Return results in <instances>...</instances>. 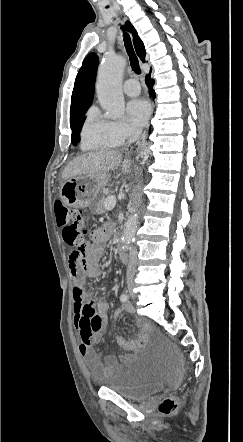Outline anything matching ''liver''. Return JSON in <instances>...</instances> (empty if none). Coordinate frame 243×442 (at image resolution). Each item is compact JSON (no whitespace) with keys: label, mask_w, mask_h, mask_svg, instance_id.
I'll use <instances>...</instances> for the list:
<instances>
[{"label":"liver","mask_w":243,"mask_h":442,"mask_svg":"<svg viewBox=\"0 0 243 442\" xmlns=\"http://www.w3.org/2000/svg\"><path fill=\"white\" fill-rule=\"evenodd\" d=\"M119 166L122 167L124 174L130 173V159L122 160V154L117 150L102 149L73 159L64 169L62 177L64 180H68L80 175L114 171Z\"/></svg>","instance_id":"6515ba94"}]
</instances>
